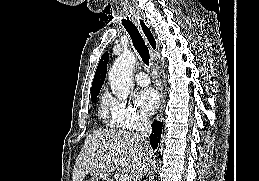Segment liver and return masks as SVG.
I'll return each instance as SVG.
<instances>
[{"label": "liver", "mask_w": 259, "mask_h": 181, "mask_svg": "<svg viewBox=\"0 0 259 181\" xmlns=\"http://www.w3.org/2000/svg\"><path fill=\"white\" fill-rule=\"evenodd\" d=\"M152 151L144 150L136 133L105 129L89 134L73 169V181H83L90 172L109 175L115 170L137 181L147 172Z\"/></svg>", "instance_id": "6515ba94"}]
</instances>
